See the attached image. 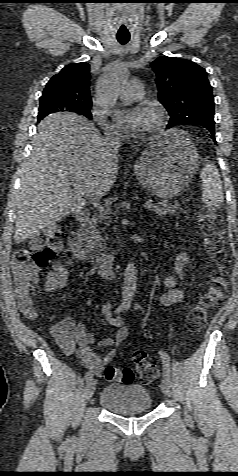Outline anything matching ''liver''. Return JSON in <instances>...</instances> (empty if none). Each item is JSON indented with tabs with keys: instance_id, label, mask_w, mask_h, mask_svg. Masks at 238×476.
I'll list each match as a JSON object with an SVG mask.
<instances>
[{
	"instance_id": "6515ba94",
	"label": "liver",
	"mask_w": 238,
	"mask_h": 476,
	"mask_svg": "<svg viewBox=\"0 0 238 476\" xmlns=\"http://www.w3.org/2000/svg\"><path fill=\"white\" fill-rule=\"evenodd\" d=\"M118 173L96 126L73 113H54L38 125L33 150L22 165L14 240L26 241L88 201L106 195ZM73 183L87 194L80 195Z\"/></svg>"
}]
</instances>
